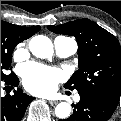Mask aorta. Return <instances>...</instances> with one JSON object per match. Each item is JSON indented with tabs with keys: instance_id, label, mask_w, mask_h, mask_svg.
Instances as JSON below:
<instances>
[{
	"instance_id": "762f6f07",
	"label": "aorta",
	"mask_w": 121,
	"mask_h": 121,
	"mask_svg": "<svg viewBox=\"0 0 121 121\" xmlns=\"http://www.w3.org/2000/svg\"><path fill=\"white\" fill-rule=\"evenodd\" d=\"M29 49L38 58H48L53 54L52 41L44 35L34 36L29 42ZM70 113L71 106L69 103L61 102L55 108V115L60 119H66Z\"/></svg>"
}]
</instances>
